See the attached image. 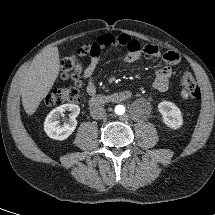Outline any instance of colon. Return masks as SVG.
I'll return each instance as SVG.
<instances>
[{
  "instance_id": "1",
  "label": "colon",
  "mask_w": 215,
  "mask_h": 215,
  "mask_svg": "<svg viewBox=\"0 0 215 215\" xmlns=\"http://www.w3.org/2000/svg\"><path fill=\"white\" fill-rule=\"evenodd\" d=\"M90 54V46L83 45L78 50L79 56H86ZM63 77L73 81L70 87L56 89L49 93L45 98V104L48 106H57L65 103H75L80 99V88L78 83L79 72L81 70L78 60L74 56L66 57L61 62ZM182 86L190 98L200 97V88L197 85L194 77L186 72L182 77Z\"/></svg>"
}]
</instances>
